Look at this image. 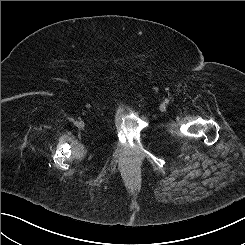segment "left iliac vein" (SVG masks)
Listing matches in <instances>:
<instances>
[{
    "label": "left iliac vein",
    "instance_id": "1",
    "mask_svg": "<svg viewBox=\"0 0 245 245\" xmlns=\"http://www.w3.org/2000/svg\"><path fill=\"white\" fill-rule=\"evenodd\" d=\"M161 108H162V109H164V108H165V106H164V105H162V106H161Z\"/></svg>",
    "mask_w": 245,
    "mask_h": 245
}]
</instances>
